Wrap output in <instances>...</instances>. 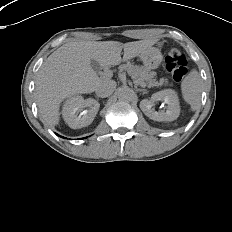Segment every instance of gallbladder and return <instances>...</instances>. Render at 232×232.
Masks as SVG:
<instances>
[{
  "label": "gallbladder",
  "mask_w": 232,
  "mask_h": 232,
  "mask_svg": "<svg viewBox=\"0 0 232 232\" xmlns=\"http://www.w3.org/2000/svg\"><path fill=\"white\" fill-rule=\"evenodd\" d=\"M91 66L95 72H99L100 64L96 60H91Z\"/></svg>",
  "instance_id": "1"
}]
</instances>
